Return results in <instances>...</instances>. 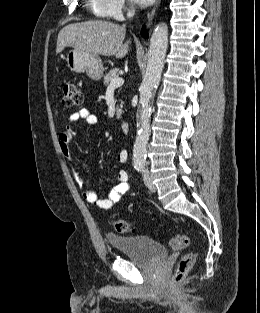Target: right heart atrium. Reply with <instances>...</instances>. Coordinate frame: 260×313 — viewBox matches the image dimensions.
I'll return each instance as SVG.
<instances>
[{"mask_svg":"<svg viewBox=\"0 0 260 313\" xmlns=\"http://www.w3.org/2000/svg\"><path fill=\"white\" fill-rule=\"evenodd\" d=\"M130 11L126 0H97L96 13L111 19H121L125 12Z\"/></svg>","mask_w":260,"mask_h":313,"instance_id":"d8ad5b80","label":"right heart atrium"}]
</instances>
